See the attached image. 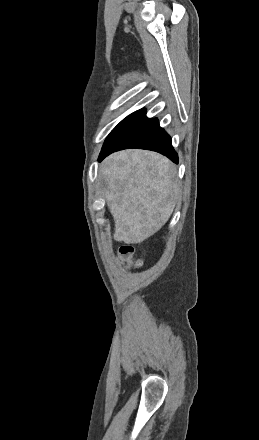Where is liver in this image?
<instances>
[{
	"label": "liver",
	"mask_w": 259,
	"mask_h": 440,
	"mask_svg": "<svg viewBox=\"0 0 259 440\" xmlns=\"http://www.w3.org/2000/svg\"><path fill=\"white\" fill-rule=\"evenodd\" d=\"M105 198L115 222L114 239L141 243L170 218L179 194L175 166L146 150H124L107 157L100 168Z\"/></svg>",
	"instance_id": "6515ba94"
}]
</instances>
